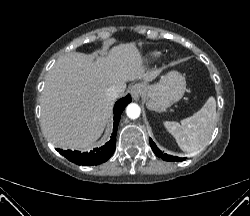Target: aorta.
<instances>
[{
  "label": "aorta",
  "instance_id": "aorta-1",
  "mask_svg": "<svg viewBox=\"0 0 250 216\" xmlns=\"http://www.w3.org/2000/svg\"><path fill=\"white\" fill-rule=\"evenodd\" d=\"M126 113L130 119H137L140 116L141 110L137 104L131 103L127 106Z\"/></svg>",
  "mask_w": 250,
  "mask_h": 216
}]
</instances>
